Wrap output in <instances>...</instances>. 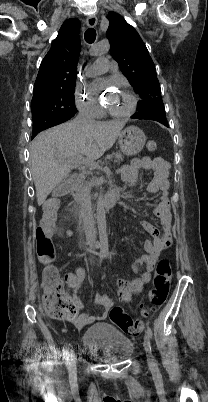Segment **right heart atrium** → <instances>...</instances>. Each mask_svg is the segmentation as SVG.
I'll use <instances>...</instances> for the list:
<instances>
[{"label": "right heart atrium", "instance_id": "obj_1", "mask_svg": "<svg viewBox=\"0 0 208 402\" xmlns=\"http://www.w3.org/2000/svg\"><path fill=\"white\" fill-rule=\"evenodd\" d=\"M73 96L78 108L90 119L97 120L103 116V108L98 99L84 85L77 84Z\"/></svg>", "mask_w": 208, "mask_h": 402}]
</instances>
